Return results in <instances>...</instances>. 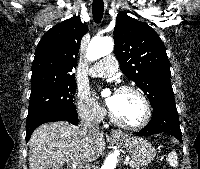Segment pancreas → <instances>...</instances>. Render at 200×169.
Returning a JSON list of instances; mask_svg holds the SVG:
<instances>
[{"mask_svg": "<svg viewBox=\"0 0 200 169\" xmlns=\"http://www.w3.org/2000/svg\"><path fill=\"white\" fill-rule=\"evenodd\" d=\"M128 165H129L132 169H140V168H139V164H137V163L134 162V161L128 162Z\"/></svg>", "mask_w": 200, "mask_h": 169, "instance_id": "pancreas-1", "label": "pancreas"}]
</instances>
